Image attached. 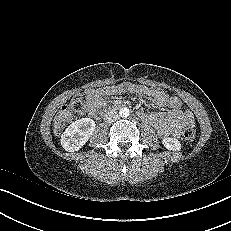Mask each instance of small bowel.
I'll list each match as a JSON object with an SVG mask.
<instances>
[{
	"label": "small bowel",
	"mask_w": 231,
	"mask_h": 231,
	"mask_svg": "<svg viewBox=\"0 0 231 231\" xmlns=\"http://www.w3.org/2000/svg\"><path fill=\"white\" fill-rule=\"evenodd\" d=\"M125 92L146 96L157 107H171L169 96L161 90L131 83H121L103 89L86 90L85 95L88 101L89 114H96L97 110L103 105V98ZM138 116L141 120L151 124L161 137H178L182 128L194 125L192 112L181 111L173 107L161 113H148L144 110H139Z\"/></svg>",
	"instance_id": "1"
}]
</instances>
